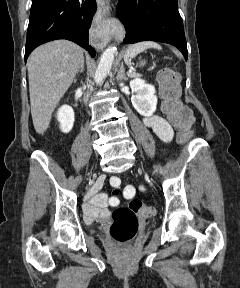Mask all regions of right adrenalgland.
<instances>
[{
    "label": "right adrenal gland",
    "instance_id": "obj_1",
    "mask_svg": "<svg viewBox=\"0 0 240 288\" xmlns=\"http://www.w3.org/2000/svg\"><path fill=\"white\" fill-rule=\"evenodd\" d=\"M83 71H84V61L82 62V64H81V67H80V70L77 72V74H79V72L80 73H83ZM76 81V79H74V82Z\"/></svg>",
    "mask_w": 240,
    "mask_h": 288
}]
</instances>
